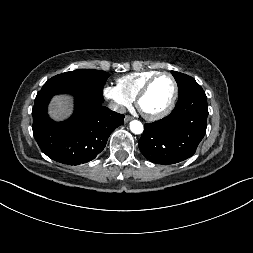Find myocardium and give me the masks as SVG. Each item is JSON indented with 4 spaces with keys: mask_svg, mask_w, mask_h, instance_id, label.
<instances>
[{
    "mask_svg": "<svg viewBox=\"0 0 253 253\" xmlns=\"http://www.w3.org/2000/svg\"><path fill=\"white\" fill-rule=\"evenodd\" d=\"M162 76H168L173 83V95L172 98L168 104V106L160 111L159 113L156 114H147L145 112L142 111L141 107H140V102L141 100L144 98V96L147 94V92L149 91L151 85L160 77ZM178 94H179V88H178V83L176 78L169 72H159L156 75H154L153 77H151L143 86L142 88L139 90V92L137 93L136 97H135V105L137 107V109L139 110V112L143 115V117L149 121H157L160 120L164 117H166L167 115H169L172 110L174 109L177 99H178Z\"/></svg>",
    "mask_w": 253,
    "mask_h": 253,
    "instance_id": "f54148a6",
    "label": "myocardium"
}]
</instances>
